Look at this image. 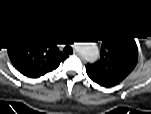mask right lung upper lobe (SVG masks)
I'll list each match as a JSON object with an SVG mask.
<instances>
[{"label":"right lung upper lobe","mask_w":151,"mask_h":114,"mask_svg":"<svg viewBox=\"0 0 151 114\" xmlns=\"http://www.w3.org/2000/svg\"><path fill=\"white\" fill-rule=\"evenodd\" d=\"M16 67L29 77H39L56 69L64 59L55 43L43 34L19 38L11 50Z\"/></svg>","instance_id":"obj_1"}]
</instances>
